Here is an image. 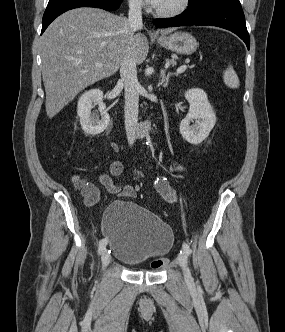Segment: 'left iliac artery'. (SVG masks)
<instances>
[{
	"label": "left iliac artery",
	"instance_id": "44dca946",
	"mask_svg": "<svg viewBox=\"0 0 285 332\" xmlns=\"http://www.w3.org/2000/svg\"><path fill=\"white\" fill-rule=\"evenodd\" d=\"M182 247H183V251H184V253H186L187 255H190V254H191V249H190V247H189V245H188L187 243L183 242ZM181 253H182V252H181Z\"/></svg>",
	"mask_w": 285,
	"mask_h": 332
}]
</instances>
